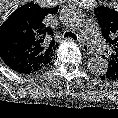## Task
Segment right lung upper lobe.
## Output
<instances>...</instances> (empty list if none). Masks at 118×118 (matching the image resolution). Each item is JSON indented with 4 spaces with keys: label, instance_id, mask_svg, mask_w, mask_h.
Here are the masks:
<instances>
[{
    "label": "right lung upper lobe",
    "instance_id": "1",
    "mask_svg": "<svg viewBox=\"0 0 118 118\" xmlns=\"http://www.w3.org/2000/svg\"><path fill=\"white\" fill-rule=\"evenodd\" d=\"M58 7L41 8L29 3L14 11L0 26V57L11 69L30 74L46 67L58 46L52 30L43 23Z\"/></svg>",
    "mask_w": 118,
    "mask_h": 118
}]
</instances>
